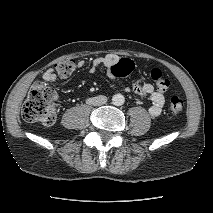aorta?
I'll return each instance as SVG.
<instances>
[{
	"label": "aorta",
	"mask_w": 213,
	"mask_h": 213,
	"mask_svg": "<svg viewBox=\"0 0 213 213\" xmlns=\"http://www.w3.org/2000/svg\"><path fill=\"white\" fill-rule=\"evenodd\" d=\"M125 102V97L122 94H115L112 97V103L116 106H121Z\"/></svg>",
	"instance_id": "obj_1"
}]
</instances>
